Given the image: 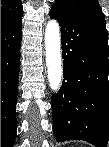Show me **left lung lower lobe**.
I'll list each match as a JSON object with an SVG mask.
<instances>
[{"instance_id": "obj_1", "label": "left lung lower lobe", "mask_w": 109, "mask_h": 147, "mask_svg": "<svg viewBox=\"0 0 109 147\" xmlns=\"http://www.w3.org/2000/svg\"><path fill=\"white\" fill-rule=\"evenodd\" d=\"M50 17L61 27L64 75L78 72L81 86L68 90L63 79L52 96L53 131L58 142L84 140L106 147L109 139L108 33L52 7Z\"/></svg>"}]
</instances>
